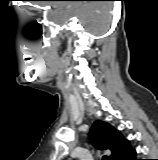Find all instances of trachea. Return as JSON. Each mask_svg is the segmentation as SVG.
Masks as SVG:
<instances>
[{
    "mask_svg": "<svg viewBox=\"0 0 158 160\" xmlns=\"http://www.w3.org/2000/svg\"><path fill=\"white\" fill-rule=\"evenodd\" d=\"M103 160H107V158H106V157H103Z\"/></svg>",
    "mask_w": 158,
    "mask_h": 160,
    "instance_id": "obj_1",
    "label": "trachea"
}]
</instances>
